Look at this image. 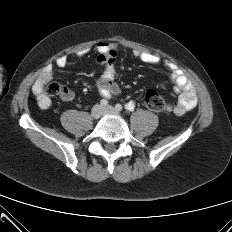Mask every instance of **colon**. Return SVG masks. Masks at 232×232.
Masks as SVG:
<instances>
[{
  "mask_svg": "<svg viewBox=\"0 0 232 232\" xmlns=\"http://www.w3.org/2000/svg\"><path fill=\"white\" fill-rule=\"evenodd\" d=\"M43 90L48 95L56 96L65 93L64 87L57 83L50 81L48 77L40 80ZM144 105L151 111L161 113L166 109L164 98L154 90H148L144 96Z\"/></svg>",
  "mask_w": 232,
  "mask_h": 232,
  "instance_id": "5ec220e1",
  "label": "colon"
}]
</instances>
